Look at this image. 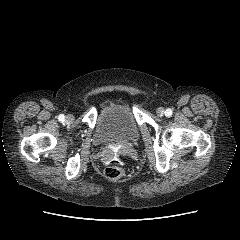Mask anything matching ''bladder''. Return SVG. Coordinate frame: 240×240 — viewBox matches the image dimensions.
<instances>
[{"label":"bladder","instance_id":"1","mask_svg":"<svg viewBox=\"0 0 240 240\" xmlns=\"http://www.w3.org/2000/svg\"><path fill=\"white\" fill-rule=\"evenodd\" d=\"M140 138L139 126L134 113L126 106L114 105L99 115L93 140L96 145H131Z\"/></svg>","mask_w":240,"mask_h":240}]
</instances>
